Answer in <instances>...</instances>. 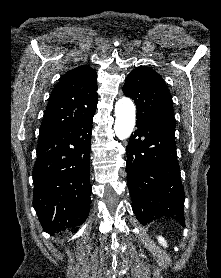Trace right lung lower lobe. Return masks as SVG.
<instances>
[{
  "mask_svg": "<svg viewBox=\"0 0 221 278\" xmlns=\"http://www.w3.org/2000/svg\"><path fill=\"white\" fill-rule=\"evenodd\" d=\"M95 113L38 144L33 207L45 232L78 229L89 214L90 148Z\"/></svg>",
  "mask_w": 221,
  "mask_h": 278,
  "instance_id": "1",
  "label": "right lung lower lobe"
}]
</instances>
